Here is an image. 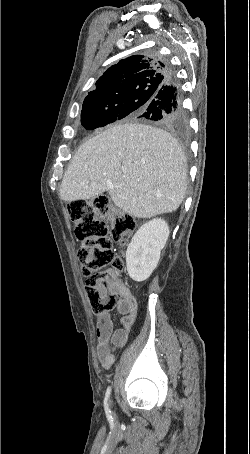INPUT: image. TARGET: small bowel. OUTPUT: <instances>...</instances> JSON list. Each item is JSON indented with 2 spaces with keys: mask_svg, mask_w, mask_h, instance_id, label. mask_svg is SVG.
Returning a JSON list of instances; mask_svg holds the SVG:
<instances>
[{
  "mask_svg": "<svg viewBox=\"0 0 250 454\" xmlns=\"http://www.w3.org/2000/svg\"><path fill=\"white\" fill-rule=\"evenodd\" d=\"M120 296L121 300L117 306L118 312L122 315L120 328L114 330L109 312L102 313L96 323L97 356L105 368H109L114 363V351L127 343L130 330L136 320L137 301L124 284H121Z\"/></svg>",
  "mask_w": 250,
  "mask_h": 454,
  "instance_id": "c3829d8e",
  "label": "small bowel"
}]
</instances>
